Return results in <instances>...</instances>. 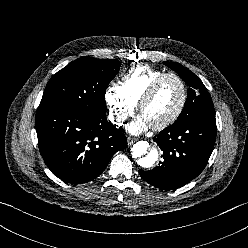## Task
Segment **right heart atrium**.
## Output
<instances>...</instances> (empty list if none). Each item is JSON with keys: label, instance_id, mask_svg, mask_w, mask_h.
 <instances>
[{"label": "right heart atrium", "instance_id": "d8ad5b80", "mask_svg": "<svg viewBox=\"0 0 248 248\" xmlns=\"http://www.w3.org/2000/svg\"><path fill=\"white\" fill-rule=\"evenodd\" d=\"M105 101L110 120L116 126H121L135 111V104L126 96L121 86H109L105 92Z\"/></svg>", "mask_w": 248, "mask_h": 248}]
</instances>
